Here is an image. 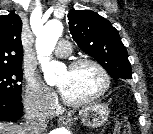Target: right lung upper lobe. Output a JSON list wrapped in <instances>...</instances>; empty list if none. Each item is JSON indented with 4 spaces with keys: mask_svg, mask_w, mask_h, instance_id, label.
Listing matches in <instances>:
<instances>
[{
    "mask_svg": "<svg viewBox=\"0 0 153 134\" xmlns=\"http://www.w3.org/2000/svg\"><path fill=\"white\" fill-rule=\"evenodd\" d=\"M21 31L22 21L17 14L0 16V67L22 65Z\"/></svg>",
    "mask_w": 153,
    "mask_h": 134,
    "instance_id": "obj_1",
    "label": "right lung upper lobe"
}]
</instances>
